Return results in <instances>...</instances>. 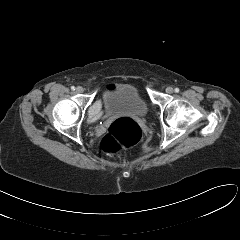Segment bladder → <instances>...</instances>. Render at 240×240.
Returning <instances> with one entry per match:
<instances>
[{
	"instance_id": "obj_1",
	"label": "bladder",
	"mask_w": 240,
	"mask_h": 240,
	"mask_svg": "<svg viewBox=\"0 0 240 240\" xmlns=\"http://www.w3.org/2000/svg\"><path fill=\"white\" fill-rule=\"evenodd\" d=\"M105 117L131 115L143 118L148 113V105L139 89L131 84H119L107 88L101 97Z\"/></svg>"
}]
</instances>
